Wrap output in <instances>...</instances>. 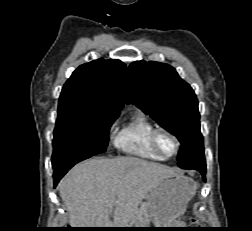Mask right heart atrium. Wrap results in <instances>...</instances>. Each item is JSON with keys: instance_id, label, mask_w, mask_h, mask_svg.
<instances>
[{"instance_id": "right-heart-atrium-1", "label": "right heart atrium", "mask_w": 252, "mask_h": 231, "mask_svg": "<svg viewBox=\"0 0 252 231\" xmlns=\"http://www.w3.org/2000/svg\"><path fill=\"white\" fill-rule=\"evenodd\" d=\"M112 128H113V125L110 126V130H112Z\"/></svg>"}]
</instances>
